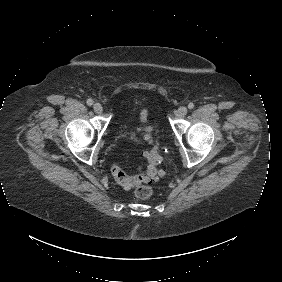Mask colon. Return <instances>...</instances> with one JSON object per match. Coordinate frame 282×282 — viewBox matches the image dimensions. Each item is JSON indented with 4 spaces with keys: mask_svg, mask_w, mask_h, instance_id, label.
Listing matches in <instances>:
<instances>
[{
    "mask_svg": "<svg viewBox=\"0 0 282 282\" xmlns=\"http://www.w3.org/2000/svg\"><path fill=\"white\" fill-rule=\"evenodd\" d=\"M144 138L147 140L149 148L146 150L144 157L146 159V166L142 173L138 175L129 176L125 174L122 167L118 164H113L110 172L115 181L125 189H131L135 184L143 182H152L161 173L162 156L160 148L155 142V138L150 126L143 132ZM153 195V188L142 187L136 190L134 196L140 200H147Z\"/></svg>",
    "mask_w": 282,
    "mask_h": 282,
    "instance_id": "1",
    "label": "colon"
}]
</instances>
